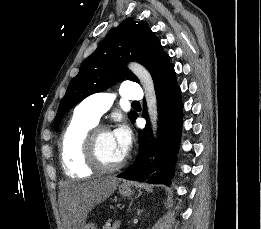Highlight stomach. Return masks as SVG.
<instances>
[{
  "label": "stomach",
  "mask_w": 261,
  "mask_h": 229,
  "mask_svg": "<svg viewBox=\"0 0 261 229\" xmlns=\"http://www.w3.org/2000/svg\"><path fill=\"white\" fill-rule=\"evenodd\" d=\"M119 193L120 195H123V197H130V195H133L130 187H119ZM84 229H96L95 225L93 223H88V225H85Z\"/></svg>",
  "instance_id": "0dacf381"
}]
</instances>
